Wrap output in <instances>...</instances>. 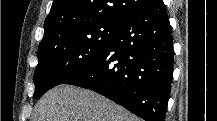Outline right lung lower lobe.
Listing matches in <instances>:
<instances>
[{
    "instance_id": "98d812e1",
    "label": "right lung lower lobe",
    "mask_w": 217,
    "mask_h": 121,
    "mask_svg": "<svg viewBox=\"0 0 217 121\" xmlns=\"http://www.w3.org/2000/svg\"><path fill=\"white\" fill-rule=\"evenodd\" d=\"M172 74L166 7L151 0L120 23L96 60L63 84L91 89L146 121H164Z\"/></svg>"
}]
</instances>
